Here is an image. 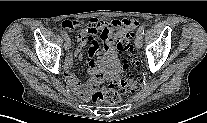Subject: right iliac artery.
<instances>
[{
    "mask_svg": "<svg viewBox=\"0 0 207 123\" xmlns=\"http://www.w3.org/2000/svg\"><path fill=\"white\" fill-rule=\"evenodd\" d=\"M60 33H61V35H62L64 38L67 37V33L64 32L63 30H61Z\"/></svg>",
    "mask_w": 207,
    "mask_h": 123,
    "instance_id": "1",
    "label": "right iliac artery"
}]
</instances>
